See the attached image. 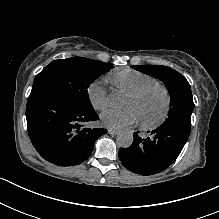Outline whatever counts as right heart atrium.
<instances>
[{"instance_id":"right-heart-atrium-1","label":"right heart atrium","mask_w":219,"mask_h":219,"mask_svg":"<svg viewBox=\"0 0 219 219\" xmlns=\"http://www.w3.org/2000/svg\"><path fill=\"white\" fill-rule=\"evenodd\" d=\"M87 98L94 109L104 110L110 104L106 81L94 80L86 88Z\"/></svg>"}]
</instances>
